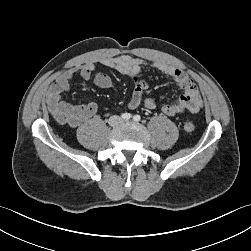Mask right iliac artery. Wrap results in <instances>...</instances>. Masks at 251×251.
<instances>
[{
  "label": "right iliac artery",
  "instance_id": "1",
  "mask_svg": "<svg viewBox=\"0 0 251 251\" xmlns=\"http://www.w3.org/2000/svg\"><path fill=\"white\" fill-rule=\"evenodd\" d=\"M132 117V115L130 113H123L121 114V118L124 120H128Z\"/></svg>",
  "mask_w": 251,
  "mask_h": 251
}]
</instances>
